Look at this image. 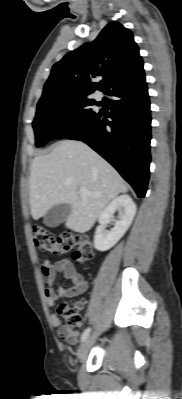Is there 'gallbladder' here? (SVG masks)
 I'll return each mask as SVG.
<instances>
[{
  "label": "gallbladder",
  "mask_w": 182,
  "mask_h": 399,
  "mask_svg": "<svg viewBox=\"0 0 182 399\" xmlns=\"http://www.w3.org/2000/svg\"><path fill=\"white\" fill-rule=\"evenodd\" d=\"M71 213V205L57 204L51 207L44 216V224L54 228L62 224Z\"/></svg>",
  "instance_id": "1"
}]
</instances>
